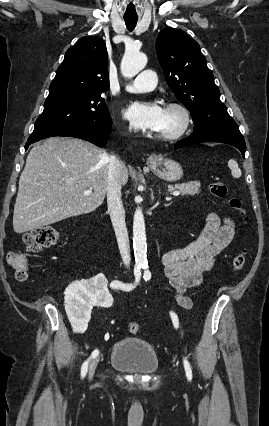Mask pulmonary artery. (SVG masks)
Listing matches in <instances>:
<instances>
[{
	"label": "pulmonary artery",
	"instance_id": "1",
	"mask_svg": "<svg viewBox=\"0 0 269 426\" xmlns=\"http://www.w3.org/2000/svg\"><path fill=\"white\" fill-rule=\"evenodd\" d=\"M156 86V73L153 70H144L133 80L128 82L125 90L132 93L148 92Z\"/></svg>",
	"mask_w": 269,
	"mask_h": 426
}]
</instances>
